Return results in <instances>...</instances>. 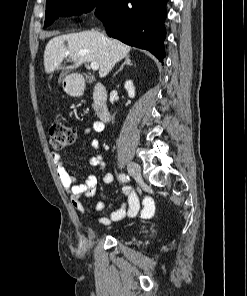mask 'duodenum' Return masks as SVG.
I'll return each instance as SVG.
<instances>
[{"mask_svg": "<svg viewBox=\"0 0 247 296\" xmlns=\"http://www.w3.org/2000/svg\"><path fill=\"white\" fill-rule=\"evenodd\" d=\"M106 100L107 92L105 87L102 84H97L93 91V103L95 114L101 122H108L111 118Z\"/></svg>", "mask_w": 247, "mask_h": 296, "instance_id": "410a0bca", "label": "duodenum"}]
</instances>
